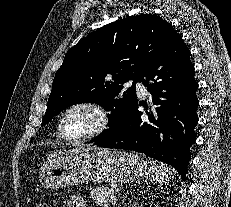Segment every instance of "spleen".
I'll list each match as a JSON object with an SVG mask.
<instances>
[{"label":"spleen","instance_id":"3e777b00","mask_svg":"<svg viewBox=\"0 0 231 207\" xmlns=\"http://www.w3.org/2000/svg\"><path fill=\"white\" fill-rule=\"evenodd\" d=\"M150 164L151 177L159 184H165L172 178V168L162 163L148 161Z\"/></svg>","mask_w":231,"mask_h":207}]
</instances>
